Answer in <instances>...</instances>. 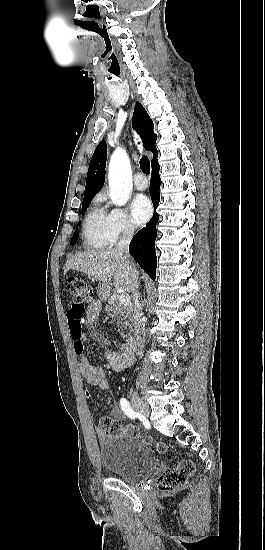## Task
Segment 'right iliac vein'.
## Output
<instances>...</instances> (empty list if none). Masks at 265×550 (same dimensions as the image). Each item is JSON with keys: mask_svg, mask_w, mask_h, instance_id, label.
Masks as SVG:
<instances>
[{"mask_svg": "<svg viewBox=\"0 0 265 550\" xmlns=\"http://www.w3.org/2000/svg\"><path fill=\"white\" fill-rule=\"evenodd\" d=\"M132 405L141 415H143L144 417H149V407L136 392H133L132 394Z\"/></svg>", "mask_w": 265, "mask_h": 550, "instance_id": "1", "label": "right iliac vein"}]
</instances>
